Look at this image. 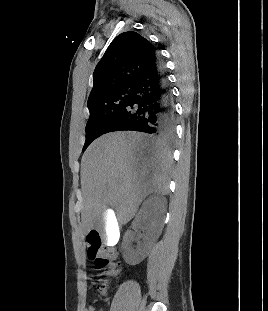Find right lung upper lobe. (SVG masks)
<instances>
[{"mask_svg": "<svg viewBox=\"0 0 268 311\" xmlns=\"http://www.w3.org/2000/svg\"><path fill=\"white\" fill-rule=\"evenodd\" d=\"M156 50L137 32L118 35L93 73V89L87 105L124 87L133 86L156 62Z\"/></svg>", "mask_w": 268, "mask_h": 311, "instance_id": "cb5924a9", "label": "right lung upper lobe"}]
</instances>
